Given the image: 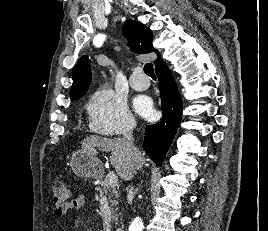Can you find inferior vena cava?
I'll return each instance as SVG.
<instances>
[{
  "label": "inferior vena cava",
  "mask_w": 268,
  "mask_h": 231,
  "mask_svg": "<svg viewBox=\"0 0 268 231\" xmlns=\"http://www.w3.org/2000/svg\"><path fill=\"white\" fill-rule=\"evenodd\" d=\"M124 140L126 143L127 148L130 150L131 152V156H132V160L133 162L136 164L139 159H140V152L139 150L135 147L134 145V137L132 134V128L128 129L125 134H124ZM136 170L135 168L133 169L132 173L130 174L129 179L134 177Z\"/></svg>",
  "instance_id": "602c4592"
}]
</instances>
